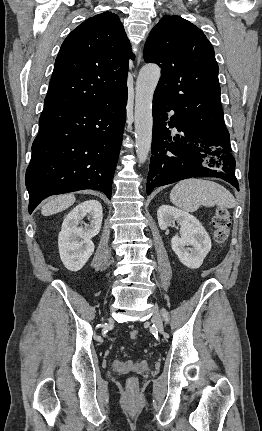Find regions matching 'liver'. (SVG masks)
Listing matches in <instances>:
<instances>
[{"instance_id":"obj_1","label":"liver","mask_w":262,"mask_h":431,"mask_svg":"<svg viewBox=\"0 0 262 431\" xmlns=\"http://www.w3.org/2000/svg\"><path fill=\"white\" fill-rule=\"evenodd\" d=\"M75 196L73 194H64L51 198L41 209L43 216H50L61 212L75 202Z\"/></svg>"}]
</instances>
